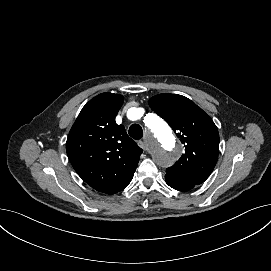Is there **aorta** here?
Returning a JSON list of instances; mask_svg holds the SVG:
<instances>
[{"instance_id":"762f6f07","label":"aorta","mask_w":271,"mask_h":271,"mask_svg":"<svg viewBox=\"0 0 271 271\" xmlns=\"http://www.w3.org/2000/svg\"><path fill=\"white\" fill-rule=\"evenodd\" d=\"M145 124L149 129L148 140L154 161L161 167L173 165L181 150L168 125L154 114L146 116Z\"/></svg>"}]
</instances>
